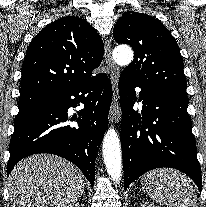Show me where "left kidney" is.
I'll return each mask as SVG.
<instances>
[{"label":"left kidney","instance_id":"left-kidney-1","mask_svg":"<svg viewBox=\"0 0 206 207\" xmlns=\"http://www.w3.org/2000/svg\"><path fill=\"white\" fill-rule=\"evenodd\" d=\"M140 207H155L152 204H148V203H143Z\"/></svg>","mask_w":206,"mask_h":207}]
</instances>
